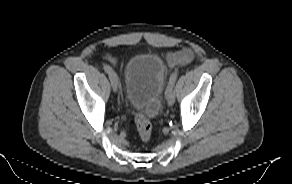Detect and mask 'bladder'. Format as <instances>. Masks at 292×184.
Masks as SVG:
<instances>
[{
  "instance_id": "bladder-1",
  "label": "bladder",
  "mask_w": 292,
  "mask_h": 184,
  "mask_svg": "<svg viewBox=\"0 0 292 184\" xmlns=\"http://www.w3.org/2000/svg\"><path fill=\"white\" fill-rule=\"evenodd\" d=\"M165 67L156 54L133 57L125 67L124 88L127 103L151 117L158 113L165 83Z\"/></svg>"
}]
</instances>
